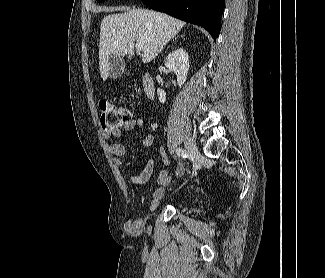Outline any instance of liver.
<instances>
[{"instance_id": "1", "label": "liver", "mask_w": 325, "mask_h": 278, "mask_svg": "<svg viewBox=\"0 0 325 278\" xmlns=\"http://www.w3.org/2000/svg\"><path fill=\"white\" fill-rule=\"evenodd\" d=\"M124 13L104 17L100 26L99 69L104 81L109 76V57L134 55L135 41L143 42V63L152 61L182 29L184 21L146 9L111 8Z\"/></svg>"}]
</instances>
